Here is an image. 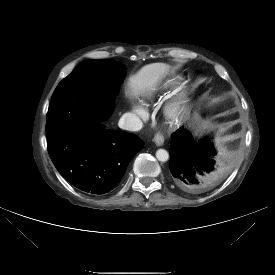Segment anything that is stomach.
Returning <instances> with one entry per match:
<instances>
[{"label":"stomach","mask_w":275,"mask_h":275,"mask_svg":"<svg viewBox=\"0 0 275 275\" xmlns=\"http://www.w3.org/2000/svg\"><path fill=\"white\" fill-rule=\"evenodd\" d=\"M193 119L195 121H200V117L196 113L194 114Z\"/></svg>","instance_id":"0dacf381"}]
</instances>
